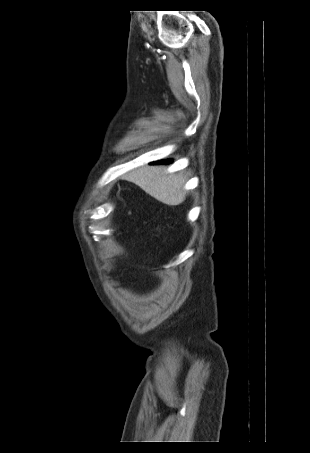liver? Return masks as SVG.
<instances>
[{"mask_svg":"<svg viewBox=\"0 0 310 453\" xmlns=\"http://www.w3.org/2000/svg\"><path fill=\"white\" fill-rule=\"evenodd\" d=\"M122 178L135 183L147 194L169 206H177L185 200V178L181 174L166 173L162 166H144Z\"/></svg>","mask_w":310,"mask_h":453,"instance_id":"6515ba94","label":"liver"}]
</instances>
